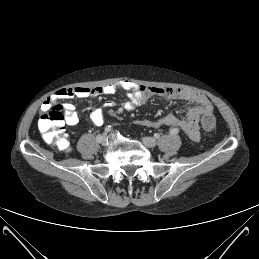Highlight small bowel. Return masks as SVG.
<instances>
[{
  "label": "small bowel",
  "instance_id": "small-bowel-1",
  "mask_svg": "<svg viewBox=\"0 0 259 259\" xmlns=\"http://www.w3.org/2000/svg\"><path fill=\"white\" fill-rule=\"evenodd\" d=\"M120 90L126 93L127 100L121 103V107L127 111L135 110L146 104L148 100L155 95L166 99L183 100L192 104V106L188 107L186 116L183 118L170 113L156 120L143 119L136 123L150 128H161L164 126L176 127L182 130L193 141H199L201 138L199 128L200 118L203 115L212 114L213 111V106L209 99L197 91L167 87H148L138 85L129 80H120L105 86L93 88H61L42 104V110L45 111L49 109V107L58 100L70 99L73 97L85 99L89 97H99L101 95H113ZM115 106V101L107 100L103 107L97 108L90 113L91 122L96 126L102 125L105 119L106 110ZM63 108L65 122L68 125H76L79 122V114L76 111L75 105L72 103H65Z\"/></svg>",
  "mask_w": 259,
  "mask_h": 259
}]
</instances>
